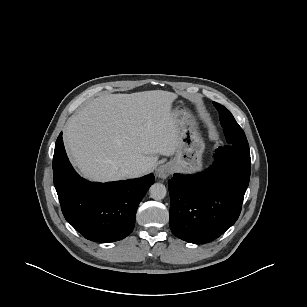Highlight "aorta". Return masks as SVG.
I'll use <instances>...</instances> for the list:
<instances>
[{"label": "aorta", "instance_id": "1", "mask_svg": "<svg viewBox=\"0 0 307 307\" xmlns=\"http://www.w3.org/2000/svg\"><path fill=\"white\" fill-rule=\"evenodd\" d=\"M149 192L151 198L155 200H161L164 199V197L166 196L167 190L165 185H163L162 183H154L153 185H151Z\"/></svg>", "mask_w": 307, "mask_h": 307}]
</instances>
